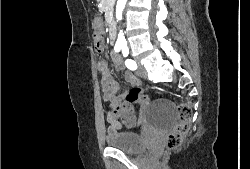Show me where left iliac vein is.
<instances>
[{
  "label": "left iliac vein",
  "mask_w": 250,
  "mask_h": 169,
  "mask_svg": "<svg viewBox=\"0 0 250 169\" xmlns=\"http://www.w3.org/2000/svg\"><path fill=\"white\" fill-rule=\"evenodd\" d=\"M139 64V63H138ZM136 74L143 78V79H146L147 78V73H146V70L145 68L142 66V65H139V68L138 70L136 71Z\"/></svg>",
  "instance_id": "1"
}]
</instances>
